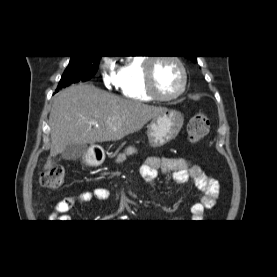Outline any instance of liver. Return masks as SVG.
<instances>
[{"mask_svg": "<svg viewBox=\"0 0 277 277\" xmlns=\"http://www.w3.org/2000/svg\"><path fill=\"white\" fill-rule=\"evenodd\" d=\"M166 110L119 98L93 85L70 86L54 98L49 116L51 149L44 169H51L52 157L62 153L69 144L121 140ZM91 121H96L98 126H93Z\"/></svg>", "mask_w": 277, "mask_h": 277, "instance_id": "obj_1", "label": "liver"}]
</instances>
